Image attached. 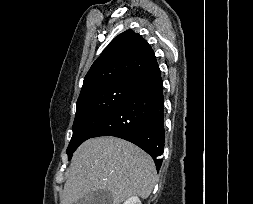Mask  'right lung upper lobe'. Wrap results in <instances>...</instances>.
<instances>
[{
    "label": "right lung upper lobe",
    "mask_w": 253,
    "mask_h": 204,
    "mask_svg": "<svg viewBox=\"0 0 253 204\" xmlns=\"http://www.w3.org/2000/svg\"><path fill=\"white\" fill-rule=\"evenodd\" d=\"M157 64L147 41L132 30L116 36L93 63L84 78L80 96L115 82H136Z\"/></svg>",
    "instance_id": "cb5924a9"
}]
</instances>
